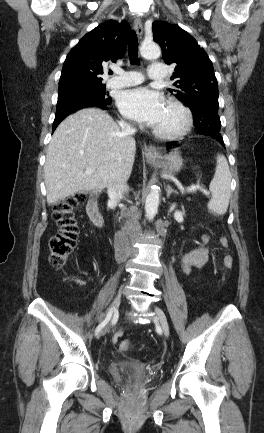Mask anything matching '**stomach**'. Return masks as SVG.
Returning <instances> with one entry per match:
<instances>
[{
  "instance_id": "1",
  "label": "stomach",
  "mask_w": 264,
  "mask_h": 433,
  "mask_svg": "<svg viewBox=\"0 0 264 433\" xmlns=\"http://www.w3.org/2000/svg\"><path fill=\"white\" fill-rule=\"evenodd\" d=\"M148 162L154 167L162 168L167 174L177 173L183 165V159L178 151L160 155L156 161L148 160Z\"/></svg>"
}]
</instances>
